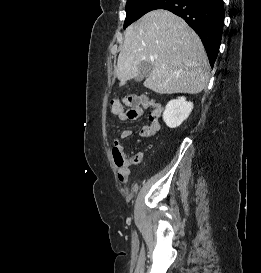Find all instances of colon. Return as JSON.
<instances>
[{"instance_id":"colon-1","label":"colon","mask_w":261,"mask_h":273,"mask_svg":"<svg viewBox=\"0 0 261 273\" xmlns=\"http://www.w3.org/2000/svg\"><path fill=\"white\" fill-rule=\"evenodd\" d=\"M140 102L141 98L136 96H125L123 98L114 99L111 102V111L115 115L124 113L129 120H135L141 114ZM113 159L118 167H122L126 163L125 155L118 146L113 147Z\"/></svg>"}]
</instances>
